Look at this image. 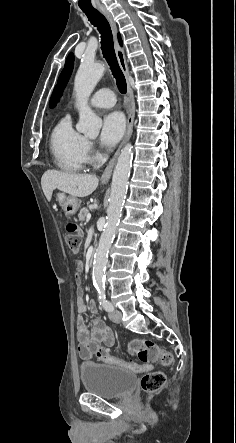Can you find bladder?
<instances>
[{
    "label": "bladder",
    "mask_w": 236,
    "mask_h": 443,
    "mask_svg": "<svg viewBox=\"0 0 236 443\" xmlns=\"http://www.w3.org/2000/svg\"><path fill=\"white\" fill-rule=\"evenodd\" d=\"M80 375L87 393L105 399L125 397L136 384V375L130 370L89 361L82 363Z\"/></svg>",
    "instance_id": "bladder-1"
}]
</instances>
